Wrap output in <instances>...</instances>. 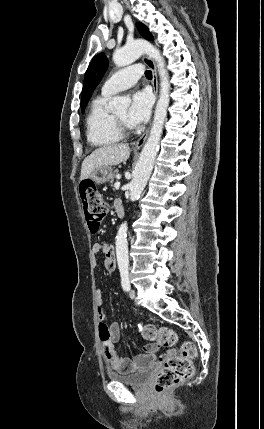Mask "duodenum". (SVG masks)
I'll return each mask as SVG.
<instances>
[{
	"instance_id": "410a0bca",
	"label": "duodenum",
	"mask_w": 264,
	"mask_h": 429,
	"mask_svg": "<svg viewBox=\"0 0 264 429\" xmlns=\"http://www.w3.org/2000/svg\"><path fill=\"white\" fill-rule=\"evenodd\" d=\"M115 210H116L117 216H119V217L124 216L125 211H124V207H123L122 203H118L115 206ZM114 261H115V254H114Z\"/></svg>"
}]
</instances>
